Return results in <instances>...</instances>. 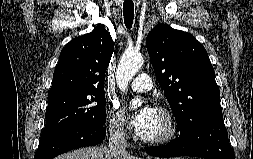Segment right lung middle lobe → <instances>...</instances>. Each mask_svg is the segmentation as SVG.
<instances>
[{"instance_id": "obj_1", "label": "right lung middle lobe", "mask_w": 253, "mask_h": 159, "mask_svg": "<svg viewBox=\"0 0 253 159\" xmlns=\"http://www.w3.org/2000/svg\"><path fill=\"white\" fill-rule=\"evenodd\" d=\"M104 90L48 98L46 125L39 143L80 125L103 126L106 120Z\"/></svg>"}]
</instances>
